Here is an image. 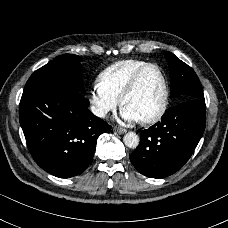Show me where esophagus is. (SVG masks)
<instances>
[{
  "label": "esophagus",
  "mask_w": 228,
  "mask_h": 228,
  "mask_svg": "<svg viewBox=\"0 0 228 228\" xmlns=\"http://www.w3.org/2000/svg\"><path fill=\"white\" fill-rule=\"evenodd\" d=\"M113 130H114L115 132H117L118 134H124V133L127 132L126 129H124V128L120 127V126H114V127H113Z\"/></svg>",
  "instance_id": "obj_1"
}]
</instances>
